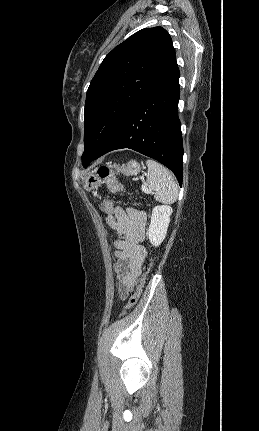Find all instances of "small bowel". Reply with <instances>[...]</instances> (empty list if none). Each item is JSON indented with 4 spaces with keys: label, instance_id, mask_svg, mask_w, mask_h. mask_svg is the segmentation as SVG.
<instances>
[{
    "label": "small bowel",
    "instance_id": "1",
    "mask_svg": "<svg viewBox=\"0 0 259 431\" xmlns=\"http://www.w3.org/2000/svg\"><path fill=\"white\" fill-rule=\"evenodd\" d=\"M119 209V212L112 216L108 213L106 221L118 235V239L113 243L116 258L114 268L119 297L125 300L144 268L147 251L143 242L147 216L144 211L136 208L121 206Z\"/></svg>",
    "mask_w": 259,
    "mask_h": 431
}]
</instances>
